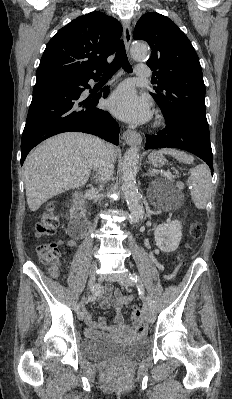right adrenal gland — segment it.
Segmentation results:
<instances>
[{
    "label": "right adrenal gland",
    "mask_w": 232,
    "mask_h": 399,
    "mask_svg": "<svg viewBox=\"0 0 232 399\" xmlns=\"http://www.w3.org/2000/svg\"><path fill=\"white\" fill-rule=\"evenodd\" d=\"M90 180H92V184H95V186H96V184H99V182H100V178H99L98 174H96V176H93V178H90Z\"/></svg>",
    "instance_id": "1"
}]
</instances>
